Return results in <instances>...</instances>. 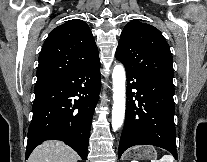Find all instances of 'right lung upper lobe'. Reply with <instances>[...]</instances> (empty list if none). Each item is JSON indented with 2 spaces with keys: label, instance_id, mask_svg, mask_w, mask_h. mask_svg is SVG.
<instances>
[{
  "label": "right lung upper lobe",
  "instance_id": "cb5924a9",
  "mask_svg": "<svg viewBox=\"0 0 207 162\" xmlns=\"http://www.w3.org/2000/svg\"><path fill=\"white\" fill-rule=\"evenodd\" d=\"M99 62L98 49L88 25L79 19L51 31L39 55L37 82Z\"/></svg>",
  "mask_w": 207,
  "mask_h": 162
}]
</instances>
